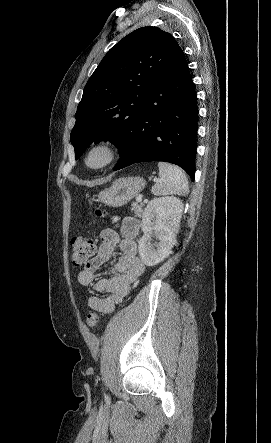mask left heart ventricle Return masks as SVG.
<instances>
[{"mask_svg":"<svg viewBox=\"0 0 271 443\" xmlns=\"http://www.w3.org/2000/svg\"><path fill=\"white\" fill-rule=\"evenodd\" d=\"M107 157V152L102 147L92 149L86 157V165L88 167H97L101 165Z\"/></svg>","mask_w":271,"mask_h":443,"instance_id":"1","label":"left heart ventricle"}]
</instances>
